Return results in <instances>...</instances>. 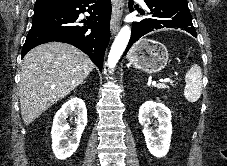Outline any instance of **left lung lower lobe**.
Wrapping results in <instances>:
<instances>
[{"instance_id": "0a47b994", "label": "left lung lower lobe", "mask_w": 227, "mask_h": 166, "mask_svg": "<svg viewBox=\"0 0 227 166\" xmlns=\"http://www.w3.org/2000/svg\"><path fill=\"white\" fill-rule=\"evenodd\" d=\"M145 3L151 10L150 18L133 22L132 34L125 54L140 37L157 29L181 28L197 38L187 0H145ZM132 4L130 0L131 9Z\"/></svg>"}]
</instances>
